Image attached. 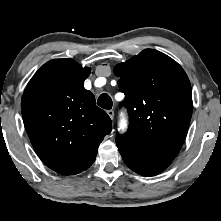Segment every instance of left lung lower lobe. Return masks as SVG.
Returning a JSON list of instances; mask_svg holds the SVG:
<instances>
[{"label": "left lung lower lobe", "mask_w": 221, "mask_h": 221, "mask_svg": "<svg viewBox=\"0 0 221 221\" xmlns=\"http://www.w3.org/2000/svg\"><path fill=\"white\" fill-rule=\"evenodd\" d=\"M116 144L126 165L140 175H157L172 163V161L158 160L142 155L122 141H118Z\"/></svg>", "instance_id": "obj_1"}]
</instances>
